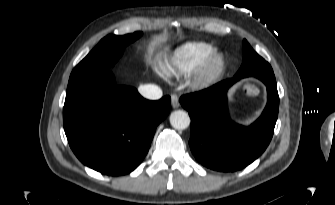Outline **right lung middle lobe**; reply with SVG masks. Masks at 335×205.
I'll return each instance as SVG.
<instances>
[{
    "instance_id": "obj_1",
    "label": "right lung middle lobe",
    "mask_w": 335,
    "mask_h": 205,
    "mask_svg": "<svg viewBox=\"0 0 335 205\" xmlns=\"http://www.w3.org/2000/svg\"><path fill=\"white\" fill-rule=\"evenodd\" d=\"M142 35L135 32L123 36L107 35L98 45L73 69L69 83L96 71L109 69L123 53L125 46Z\"/></svg>"
}]
</instances>
